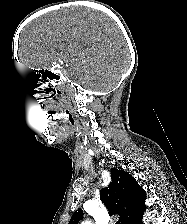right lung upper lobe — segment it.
I'll use <instances>...</instances> for the list:
<instances>
[{
    "label": "right lung upper lobe",
    "instance_id": "obj_1",
    "mask_svg": "<svg viewBox=\"0 0 187 224\" xmlns=\"http://www.w3.org/2000/svg\"><path fill=\"white\" fill-rule=\"evenodd\" d=\"M111 176L112 182L100 191V199L110 215L120 216L119 224H133L145 211L146 193L128 172L112 168ZM82 216V209H78L69 224H78Z\"/></svg>",
    "mask_w": 187,
    "mask_h": 224
}]
</instances>
